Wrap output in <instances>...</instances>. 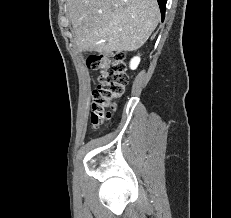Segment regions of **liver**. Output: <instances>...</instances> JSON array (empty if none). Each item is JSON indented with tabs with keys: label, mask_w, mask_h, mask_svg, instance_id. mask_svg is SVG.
Segmentation results:
<instances>
[{
	"label": "liver",
	"mask_w": 231,
	"mask_h": 218,
	"mask_svg": "<svg viewBox=\"0 0 231 218\" xmlns=\"http://www.w3.org/2000/svg\"><path fill=\"white\" fill-rule=\"evenodd\" d=\"M80 51L111 53L140 48L160 19L157 0H68Z\"/></svg>",
	"instance_id": "obj_1"
}]
</instances>
